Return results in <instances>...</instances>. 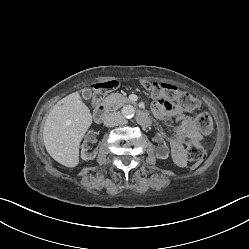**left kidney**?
Returning a JSON list of instances; mask_svg holds the SVG:
<instances>
[{"label": "left kidney", "mask_w": 249, "mask_h": 249, "mask_svg": "<svg viewBox=\"0 0 249 249\" xmlns=\"http://www.w3.org/2000/svg\"><path fill=\"white\" fill-rule=\"evenodd\" d=\"M157 158L166 159V158H168V155H165V156H157Z\"/></svg>", "instance_id": "5707ae66"}]
</instances>
